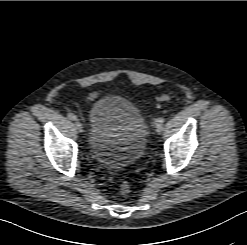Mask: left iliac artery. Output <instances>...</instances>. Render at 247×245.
I'll use <instances>...</instances> for the list:
<instances>
[{"label": "left iliac artery", "instance_id": "obj_1", "mask_svg": "<svg viewBox=\"0 0 247 245\" xmlns=\"http://www.w3.org/2000/svg\"><path fill=\"white\" fill-rule=\"evenodd\" d=\"M164 121H165L164 117H160V118L156 119V123L162 124V123H164Z\"/></svg>", "mask_w": 247, "mask_h": 245}]
</instances>
